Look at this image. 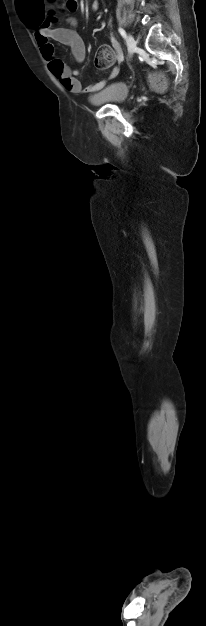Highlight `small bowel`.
Masks as SVG:
<instances>
[{
    "label": "small bowel",
    "instance_id": "small-bowel-1",
    "mask_svg": "<svg viewBox=\"0 0 206 626\" xmlns=\"http://www.w3.org/2000/svg\"><path fill=\"white\" fill-rule=\"evenodd\" d=\"M93 10H97L98 3L94 2L92 6ZM64 9L68 12H75L78 9V0H67ZM30 23H29V22ZM26 24L33 29V34L41 55L46 60L51 73L60 81L62 86L69 92L74 94L81 93H94L101 90L107 79L100 80L96 83L83 88L77 76L79 71L72 70L67 64L55 55L54 46L50 40H54L63 45H67L71 49V53L74 59L78 63H82L86 56V47L81 36L76 32V20L73 17H68L66 22L68 27H56V18L53 10H50L47 15L43 13V10L36 8V10L25 21ZM111 47L115 51L116 58L119 61L123 60V54L118 42L113 39L111 41ZM118 69H114L110 75L114 77L117 75Z\"/></svg>",
    "mask_w": 206,
    "mask_h": 626
}]
</instances>
